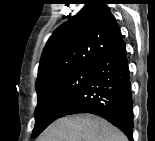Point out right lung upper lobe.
I'll return each mask as SVG.
<instances>
[{
	"label": "right lung upper lobe",
	"instance_id": "right-lung-upper-lobe-1",
	"mask_svg": "<svg viewBox=\"0 0 155 141\" xmlns=\"http://www.w3.org/2000/svg\"><path fill=\"white\" fill-rule=\"evenodd\" d=\"M105 4L88 3L54 31L42 53L36 85L64 71L94 68L118 41L120 28Z\"/></svg>",
	"mask_w": 155,
	"mask_h": 141
}]
</instances>
